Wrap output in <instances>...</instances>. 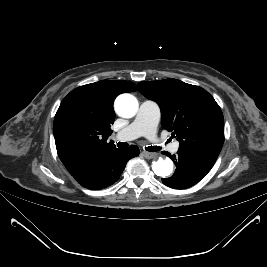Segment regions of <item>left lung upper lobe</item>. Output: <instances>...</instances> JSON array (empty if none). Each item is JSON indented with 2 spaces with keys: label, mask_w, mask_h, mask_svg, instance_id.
Returning a JSON list of instances; mask_svg holds the SVG:
<instances>
[{
  "label": "left lung upper lobe",
  "mask_w": 267,
  "mask_h": 267,
  "mask_svg": "<svg viewBox=\"0 0 267 267\" xmlns=\"http://www.w3.org/2000/svg\"><path fill=\"white\" fill-rule=\"evenodd\" d=\"M137 85L146 98L159 104L162 127L177 138L179 149L218 157L224 142V118L206 90L177 79Z\"/></svg>",
  "instance_id": "5c2ea615"
}]
</instances>
